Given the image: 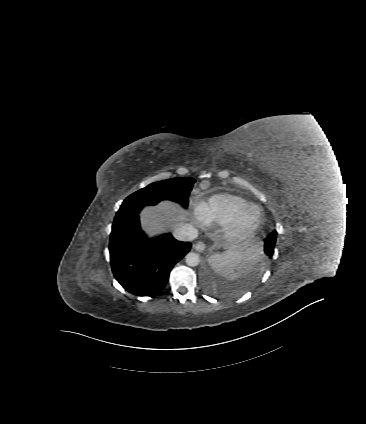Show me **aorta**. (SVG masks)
Here are the masks:
<instances>
[{"mask_svg": "<svg viewBox=\"0 0 366 424\" xmlns=\"http://www.w3.org/2000/svg\"><path fill=\"white\" fill-rule=\"evenodd\" d=\"M185 261L188 266L195 267L200 263V256L197 253L189 252Z\"/></svg>", "mask_w": 366, "mask_h": 424, "instance_id": "obj_1", "label": "aorta"}]
</instances>
